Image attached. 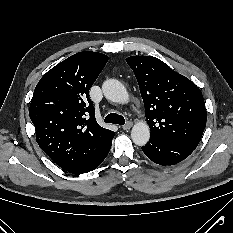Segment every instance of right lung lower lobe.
Segmentation results:
<instances>
[{
  "instance_id": "98d812e1",
  "label": "right lung lower lobe",
  "mask_w": 233,
  "mask_h": 233,
  "mask_svg": "<svg viewBox=\"0 0 233 233\" xmlns=\"http://www.w3.org/2000/svg\"><path fill=\"white\" fill-rule=\"evenodd\" d=\"M111 144L107 146L99 155H97L92 160L88 161L87 163L79 167L73 168L69 170L68 172L74 173V174H82V173H87V172L94 170L96 167H98L103 162V160L108 155L110 148H111Z\"/></svg>"
}]
</instances>
